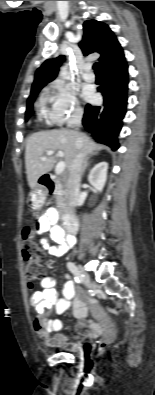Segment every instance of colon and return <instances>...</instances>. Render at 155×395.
<instances>
[{
	"mask_svg": "<svg viewBox=\"0 0 155 395\" xmlns=\"http://www.w3.org/2000/svg\"><path fill=\"white\" fill-rule=\"evenodd\" d=\"M22 256L26 282L30 288H33L44 274L42 265L44 253L30 227H26L23 231Z\"/></svg>",
	"mask_w": 155,
	"mask_h": 395,
	"instance_id": "obj_1",
	"label": "colon"
}]
</instances>
